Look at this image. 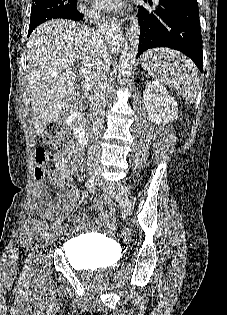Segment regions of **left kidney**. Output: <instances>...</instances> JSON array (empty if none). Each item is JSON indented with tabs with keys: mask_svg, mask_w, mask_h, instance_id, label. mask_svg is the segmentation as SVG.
Instances as JSON below:
<instances>
[{
	"mask_svg": "<svg viewBox=\"0 0 227 315\" xmlns=\"http://www.w3.org/2000/svg\"><path fill=\"white\" fill-rule=\"evenodd\" d=\"M143 100L148 117L152 122L159 125L177 119V103L160 83L148 82L143 93Z\"/></svg>",
	"mask_w": 227,
	"mask_h": 315,
	"instance_id": "5707ae66",
	"label": "left kidney"
}]
</instances>
